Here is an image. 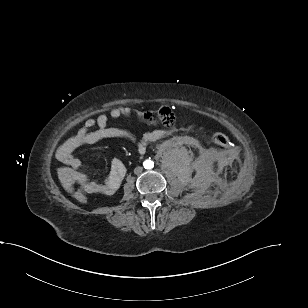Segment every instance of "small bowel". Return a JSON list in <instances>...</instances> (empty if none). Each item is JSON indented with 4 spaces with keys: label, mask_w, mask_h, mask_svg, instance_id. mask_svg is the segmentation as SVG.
<instances>
[{
    "label": "small bowel",
    "mask_w": 308,
    "mask_h": 308,
    "mask_svg": "<svg viewBox=\"0 0 308 308\" xmlns=\"http://www.w3.org/2000/svg\"><path fill=\"white\" fill-rule=\"evenodd\" d=\"M132 113L129 107H117L109 112L111 118H120L128 116ZM109 117L106 114L99 115L96 119H87L82 128L75 135L63 142L57 149V159L69 168V184L70 187L75 185L78 189L83 190L87 194H105L112 195L119 188L126 168L119 159H114L111 164L109 175L106 180L101 183L96 180H89L82 171V162L74 156V151L83 145L96 144L105 139H128L136 141L130 132L111 127L108 125ZM163 135V131L156 130L143 135L138 141L140 149L145 148L149 143L158 140Z\"/></svg>",
    "instance_id": "small-bowel-1"
}]
</instances>
